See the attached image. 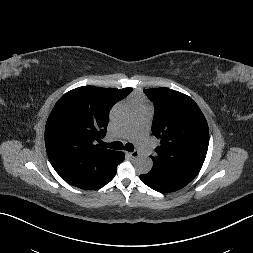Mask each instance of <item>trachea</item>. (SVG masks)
I'll list each match as a JSON object with an SVG mask.
<instances>
[{
  "label": "trachea",
  "instance_id": "1",
  "mask_svg": "<svg viewBox=\"0 0 253 253\" xmlns=\"http://www.w3.org/2000/svg\"><path fill=\"white\" fill-rule=\"evenodd\" d=\"M103 147H108L111 149H116V150H122L123 148H125L126 151L129 152H133L134 151V146L131 143H127L125 144V146H123V143L119 142V141H115L112 143H101Z\"/></svg>",
  "mask_w": 253,
  "mask_h": 253
}]
</instances>
